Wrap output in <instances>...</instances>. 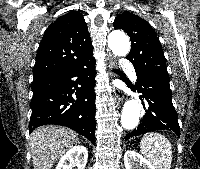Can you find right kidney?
<instances>
[{
  "instance_id": "obj_1",
  "label": "right kidney",
  "mask_w": 200,
  "mask_h": 169,
  "mask_svg": "<svg viewBox=\"0 0 200 169\" xmlns=\"http://www.w3.org/2000/svg\"><path fill=\"white\" fill-rule=\"evenodd\" d=\"M88 151L84 146H74L64 154L56 169H72L76 165L78 169H84L87 163Z\"/></svg>"
}]
</instances>
